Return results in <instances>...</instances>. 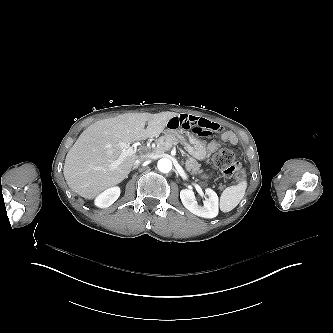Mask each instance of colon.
<instances>
[{
    "instance_id": "5ec220e1",
    "label": "colon",
    "mask_w": 333,
    "mask_h": 333,
    "mask_svg": "<svg viewBox=\"0 0 333 333\" xmlns=\"http://www.w3.org/2000/svg\"><path fill=\"white\" fill-rule=\"evenodd\" d=\"M213 165L217 168L218 175L225 181L235 178L243 180L244 166L235 160V152L230 148L217 151L213 155Z\"/></svg>"
}]
</instances>
